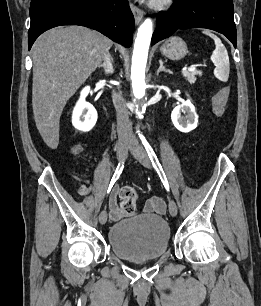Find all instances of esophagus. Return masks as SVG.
Here are the masks:
<instances>
[{
    "label": "esophagus",
    "instance_id": "esophagus-1",
    "mask_svg": "<svg viewBox=\"0 0 261 306\" xmlns=\"http://www.w3.org/2000/svg\"><path fill=\"white\" fill-rule=\"evenodd\" d=\"M131 10L134 15L135 22L137 24L140 23L144 15L143 11L133 3H131Z\"/></svg>",
    "mask_w": 261,
    "mask_h": 306
}]
</instances>
